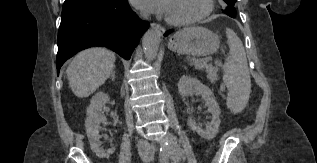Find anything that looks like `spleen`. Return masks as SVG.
<instances>
[{
	"label": "spleen",
	"mask_w": 317,
	"mask_h": 163,
	"mask_svg": "<svg viewBox=\"0 0 317 163\" xmlns=\"http://www.w3.org/2000/svg\"><path fill=\"white\" fill-rule=\"evenodd\" d=\"M229 54L224 64L223 81L228 88L227 107L240 113L246 106L251 92V80L245 49L239 37L226 29Z\"/></svg>",
	"instance_id": "spleen-1"
}]
</instances>
